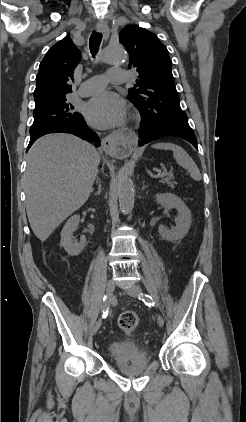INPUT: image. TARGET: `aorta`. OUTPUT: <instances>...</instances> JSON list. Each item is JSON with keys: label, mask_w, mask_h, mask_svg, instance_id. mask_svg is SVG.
<instances>
[{"label": "aorta", "mask_w": 246, "mask_h": 422, "mask_svg": "<svg viewBox=\"0 0 246 422\" xmlns=\"http://www.w3.org/2000/svg\"><path fill=\"white\" fill-rule=\"evenodd\" d=\"M104 63H122L126 60L125 50L121 47L107 46L101 52ZM119 206L123 212H130L134 207V185L126 169H121L117 176Z\"/></svg>", "instance_id": "762f6f07"}]
</instances>
